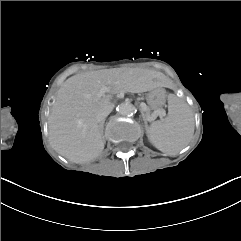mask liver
I'll return each mask as SVG.
<instances>
[{
    "instance_id": "liver-1",
    "label": "liver",
    "mask_w": 241,
    "mask_h": 241,
    "mask_svg": "<svg viewBox=\"0 0 241 241\" xmlns=\"http://www.w3.org/2000/svg\"><path fill=\"white\" fill-rule=\"evenodd\" d=\"M158 75L154 70L106 69L68 78L57 92L48 120L51 147L74 163L98 157L105 142L96 115L113 105V94L119 91L141 93L161 86L154 81Z\"/></svg>"
}]
</instances>
